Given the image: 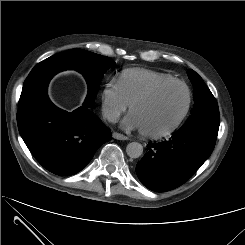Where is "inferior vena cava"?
<instances>
[{"label": "inferior vena cava", "instance_id": "obj_1", "mask_svg": "<svg viewBox=\"0 0 245 245\" xmlns=\"http://www.w3.org/2000/svg\"><path fill=\"white\" fill-rule=\"evenodd\" d=\"M104 117L109 121V122H116L119 118V113L117 112H105Z\"/></svg>", "mask_w": 245, "mask_h": 245}]
</instances>
